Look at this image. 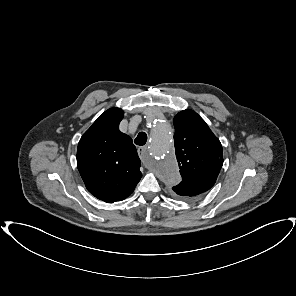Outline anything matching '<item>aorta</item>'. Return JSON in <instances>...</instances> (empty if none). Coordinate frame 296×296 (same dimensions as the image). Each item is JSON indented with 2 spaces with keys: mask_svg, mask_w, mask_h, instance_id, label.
Wrapping results in <instances>:
<instances>
[{
  "mask_svg": "<svg viewBox=\"0 0 296 296\" xmlns=\"http://www.w3.org/2000/svg\"><path fill=\"white\" fill-rule=\"evenodd\" d=\"M172 135V123L161 115H155L150 137L151 155L157 176L166 184H176L180 181L178 164L172 156Z\"/></svg>",
  "mask_w": 296,
  "mask_h": 296,
  "instance_id": "762f6f07",
  "label": "aorta"
}]
</instances>
